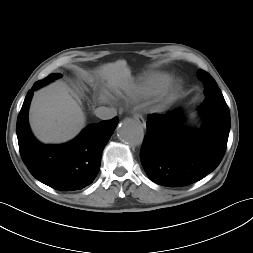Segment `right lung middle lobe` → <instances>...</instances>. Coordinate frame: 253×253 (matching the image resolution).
<instances>
[{
  "instance_id": "1",
  "label": "right lung middle lobe",
  "mask_w": 253,
  "mask_h": 253,
  "mask_svg": "<svg viewBox=\"0 0 253 253\" xmlns=\"http://www.w3.org/2000/svg\"><path fill=\"white\" fill-rule=\"evenodd\" d=\"M61 77L60 74H50L47 78H45L44 80L38 81L36 82L34 85L38 86V87H42L44 85H46L47 83L57 79Z\"/></svg>"
}]
</instances>
